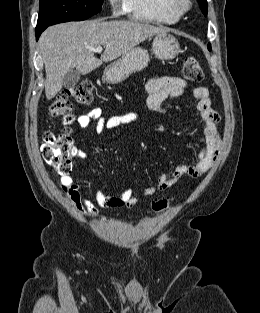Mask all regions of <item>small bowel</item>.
<instances>
[{
  "label": "small bowel",
  "mask_w": 260,
  "mask_h": 313,
  "mask_svg": "<svg viewBox=\"0 0 260 313\" xmlns=\"http://www.w3.org/2000/svg\"><path fill=\"white\" fill-rule=\"evenodd\" d=\"M185 88L186 82L180 77L159 75L152 78L146 85L148 93L147 104L150 111L155 115L165 116V111L162 107L163 102L171 97L182 96ZM193 95L198 101V110L204 122L205 134V145L199 151L198 161L190 165H178L170 175L160 174L157 178L156 185L144 189V197H151L158 191L170 189L183 176L192 178L204 176L210 171L217 160L221 147V139L218 132L220 117L211 108L209 91L206 87H196ZM92 121H95V127L99 133L106 129H113L122 125L141 124L143 122L142 118L133 112L104 118L102 110L98 107L88 110L77 118V124L81 128H87ZM83 156V152L77 153V158L80 159ZM60 186L76 210L84 217L98 215L100 208L117 209L133 207L139 202V198L133 194L131 189H127L117 195L97 193L95 200H91L82 194L81 186L69 174L61 177Z\"/></svg>",
  "instance_id": "c3829d8e"
}]
</instances>
